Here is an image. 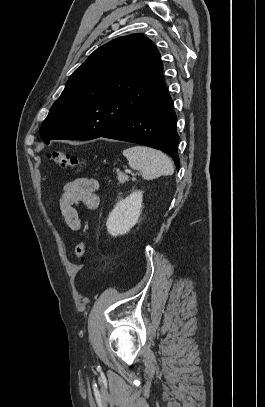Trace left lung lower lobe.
<instances>
[{"label":"left lung lower lobe","instance_id":"left-lung-lower-lobe-1","mask_svg":"<svg viewBox=\"0 0 265 407\" xmlns=\"http://www.w3.org/2000/svg\"><path fill=\"white\" fill-rule=\"evenodd\" d=\"M176 122L173 101L166 89L155 101L101 137L160 149L170 155L179 168Z\"/></svg>","mask_w":265,"mask_h":407}]
</instances>
